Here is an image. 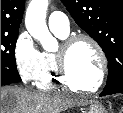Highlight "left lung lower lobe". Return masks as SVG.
<instances>
[{
  "mask_svg": "<svg viewBox=\"0 0 123 113\" xmlns=\"http://www.w3.org/2000/svg\"><path fill=\"white\" fill-rule=\"evenodd\" d=\"M108 94H111V93L102 92V93L100 94V96H105V95H108Z\"/></svg>",
  "mask_w": 123,
  "mask_h": 113,
  "instance_id": "0a47b994",
  "label": "left lung lower lobe"
}]
</instances>
